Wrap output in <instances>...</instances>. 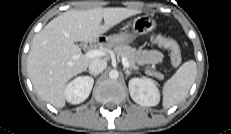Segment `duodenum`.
Returning a JSON list of instances; mask_svg holds the SVG:
<instances>
[{"mask_svg": "<svg viewBox=\"0 0 231 134\" xmlns=\"http://www.w3.org/2000/svg\"><path fill=\"white\" fill-rule=\"evenodd\" d=\"M104 42H105V39L101 37L94 41V45H100V44H103Z\"/></svg>", "mask_w": 231, "mask_h": 134, "instance_id": "obj_1", "label": "duodenum"}]
</instances>
